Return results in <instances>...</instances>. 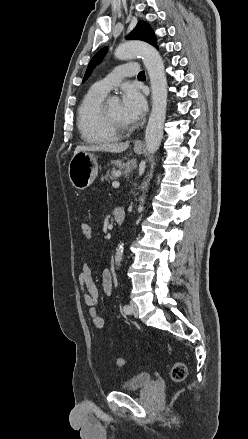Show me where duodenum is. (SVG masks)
<instances>
[{"label": "duodenum", "mask_w": 248, "mask_h": 439, "mask_svg": "<svg viewBox=\"0 0 248 439\" xmlns=\"http://www.w3.org/2000/svg\"><path fill=\"white\" fill-rule=\"evenodd\" d=\"M113 218H114L115 223H117V224L123 223V221L125 219V211H124V209L121 208V207H116L113 210Z\"/></svg>", "instance_id": "1"}]
</instances>
